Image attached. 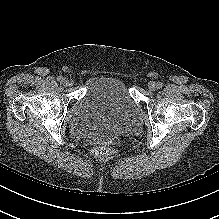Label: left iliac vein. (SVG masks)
Returning a JSON list of instances; mask_svg holds the SVG:
<instances>
[{"label": "left iliac vein", "instance_id": "obj_1", "mask_svg": "<svg viewBox=\"0 0 219 219\" xmlns=\"http://www.w3.org/2000/svg\"><path fill=\"white\" fill-rule=\"evenodd\" d=\"M148 89L150 90V91H154L157 87H156V83L154 82V81H150V82H148Z\"/></svg>", "mask_w": 219, "mask_h": 219}]
</instances>
